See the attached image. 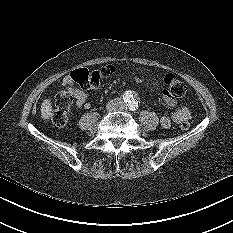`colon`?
<instances>
[{"mask_svg": "<svg viewBox=\"0 0 233 233\" xmlns=\"http://www.w3.org/2000/svg\"><path fill=\"white\" fill-rule=\"evenodd\" d=\"M115 72L112 65H104L98 69L81 68L69 75V80L83 88L95 89L100 83ZM164 92L171 98H182L187 93L186 85L174 74H167L164 77ZM73 104V97L68 90L61 91L56 95L55 104L51 111V121L57 127H63L68 121V115ZM181 129L187 130L190 127L188 121L180 125Z\"/></svg>", "mask_w": 233, "mask_h": 233, "instance_id": "1", "label": "colon"}]
</instances>
